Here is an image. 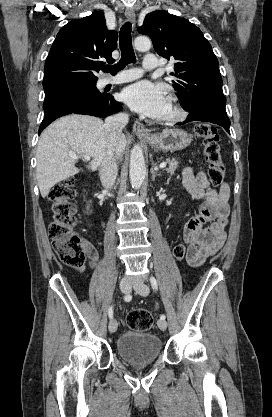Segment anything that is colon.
<instances>
[{
    "label": "colon",
    "mask_w": 272,
    "mask_h": 417,
    "mask_svg": "<svg viewBox=\"0 0 272 417\" xmlns=\"http://www.w3.org/2000/svg\"><path fill=\"white\" fill-rule=\"evenodd\" d=\"M195 133L204 141L209 180L213 185H219L223 181L224 166L220 155L218 131L211 124L199 123L195 127ZM74 196L73 179H66L51 188L49 199L52 216L48 232L59 259L67 265L80 266L85 260L87 244L73 231L76 223V209L72 203ZM186 252L187 246L183 243L177 244L173 249V255L179 261L183 260ZM126 322L131 329L147 331L153 326L154 318L149 310L136 309L128 313Z\"/></svg>",
    "instance_id": "5ec220e1"
}]
</instances>
